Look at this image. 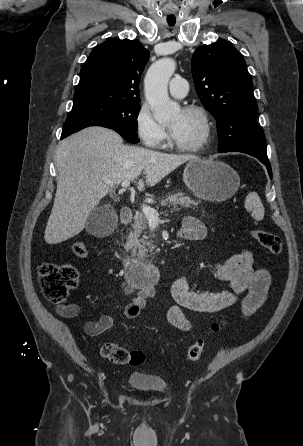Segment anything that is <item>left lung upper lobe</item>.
Instances as JSON below:
<instances>
[{
	"instance_id": "1",
	"label": "left lung upper lobe",
	"mask_w": 303,
	"mask_h": 446,
	"mask_svg": "<svg viewBox=\"0 0 303 446\" xmlns=\"http://www.w3.org/2000/svg\"><path fill=\"white\" fill-rule=\"evenodd\" d=\"M192 75L197 94L217 121L218 151L267 157L253 83L242 55L225 41L204 45L193 54Z\"/></svg>"
}]
</instances>
